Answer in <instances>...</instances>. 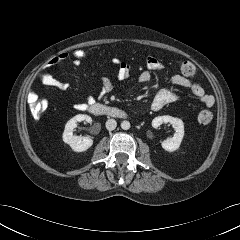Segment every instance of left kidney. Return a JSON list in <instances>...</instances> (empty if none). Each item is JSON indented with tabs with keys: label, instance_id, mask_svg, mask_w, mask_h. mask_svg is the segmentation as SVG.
Segmentation results:
<instances>
[{
	"label": "left kidney",
	"instance_id": "left-kidney-1",
	"mask_svg": "<svg viewBox=\"0 0 240 240\" xmlns=\"http://www.w3.org/2000/svg\"><path fill=\"white\" fill-rule=\"evenodd\" d=\"M162 123H170L175 130L174 136L164 140L162 148L168 152L176 151L182 142L184 136V123L181 119L169 115L158 116L152 120V126L158 128Z\"/></svg>",
	"mask_w": 240,
	"mask_h": 240
}]
</instances>
